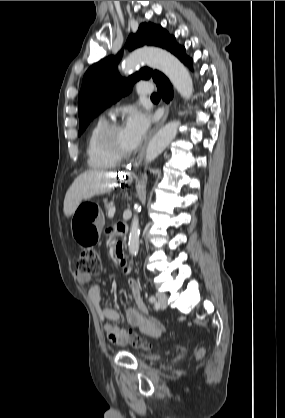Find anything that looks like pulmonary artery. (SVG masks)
<instances>
[{
  "label": "pulmonary artery",
  "instance_id": "obj_1",
  "mask_svg": "<svg viewBox=\"0 0 285 418\" xmlns=\"http://www.w3.org/2000/svg\"><path fill=\"white\" fill-rule=\"evenodd\" d=\"M152 90H153V87L151 85H145V84L138 85L136 89L138 95L150 94Z\"/></svg>",
  "mask_w": 285,
  "mask_h": 418
}]
</instances>
